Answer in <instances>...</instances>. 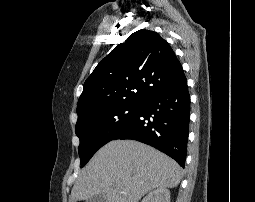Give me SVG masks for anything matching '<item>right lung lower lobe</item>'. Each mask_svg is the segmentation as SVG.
<instances>
[{"label": "right lung lower lobe", "mask_w": 255, "mask_h": 202, "mask_svg": "<svg viewBox=\"0 0 255 202\" xmlns=\"http://www.w3.org/2000/svg\"><path fill=\"white\" fill-rule=\"evenodd\" d=\"M189 119L190 95L185 81L143 101L136 115L113 140L132 139L151 145L184 168Z\"/></svg>", "instance_id": "obj_1"}]
</instances>
